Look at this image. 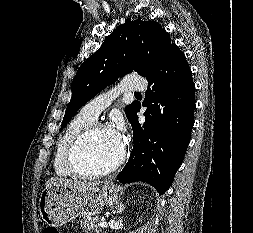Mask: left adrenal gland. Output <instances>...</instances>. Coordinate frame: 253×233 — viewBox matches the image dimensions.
Wrapping results in <instances>:
<instances>
[{
	"label": "left adrenal gland",
	"mask_w": 253,
	"mask_h": 233,
	"mask_svg": "<svg viewBox=\"0 0 253 233\" xmlns=\"http://www.w3.org/2000/svg\"><path fill=\"white\" fill-rule=\"evenodd\" d=\"M124 211V205L123 204H120V205H118L117 207H116V213L117 214H120V213H122Z\"/></svg>",
	"instance_id": "1"
}]
</instances>
